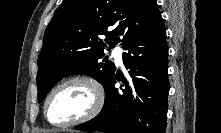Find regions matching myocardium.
<instances>
[{
    "label": "myocardium",
    "mask_w": 221,
    "mask_h": 133,
    "mask_svg": "<svg viewBox=\"0 0 221 133\" xmlns=\"http://www.w3.org/2000/svg\"><path fill=\"white\" fill-rule=\"evenodd\" d=\"M72 83H81V84L86 85L90 89L93 100H92V104L89 110L82 116L76 119H73L71 121L65 122V123L52 122L48 117V110H47L51 97L54 95V93L57 90ZM104 101H105L104 90L96 79L89 77V76H85V75H74L66 79H63L62 81L57 83L55 86H53L52 89L48 92L44 100V104H43V114L47 122L51 124L52 126H55L58 128L73 127V126L88 122L92 120L93 118H95L102 110Z\"/></svg>",
    "instance_id": "1"
}]
</instances>
